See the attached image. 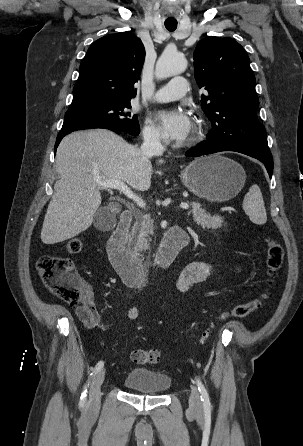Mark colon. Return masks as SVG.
I'll use <instances>...</instances> for the list:
<instances>
[{"instance_id": "1", "label": "colon", "mask_w": 303, "mask_h": 446, "mask_svg": "<svg viewBox=\"0 0 303 446\" xmlns=\"http://www.w3.org/2000/svg\"><path fill=\"white\" fill-rule=\"evenodd\" d=\"M83 250V243L79 238H71L66 243V251L70 255H76ZM284 258V250L281 244L274 240H267V287H270L281 268ZM38 274L50 290V292L57 298L68 304H79L82 300V291L80 279L75 269V265L70 258L58 256H42L36 263ZM268 288L253 300L237 305L231 311L222 314L219 320L228 318H243L247 315L259 310L263 301L268 297ZM212 323L206 330L203 331L200 337V343L205 344L210 338L214 329ZM131 359L134 363L156 364L160 360V352L157 349H137L131 353Z\"/></svg>"}]
</instances>
